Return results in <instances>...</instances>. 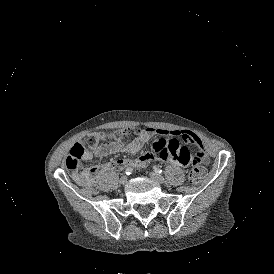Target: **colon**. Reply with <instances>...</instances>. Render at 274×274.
I'll return each mask as SVG.
<instances>
[{"mask_svg":"<svg viewBox=\"0 0 274 274\" xmlns=\"http://www.w3.org/2000/svg\"><path fill=\"white\" fill-rule=\"evenodd\" d=\"M138 135V129L135 127H128L121 130H115L110 133L109 137L117 138L123 142H131L136 139ZM107 135L103 132L96 133L86 137L82 142H77L73 145L69 155L65 158V167L72 172L79 171L82 175H91L96 169L82 167V156L85 151H89L97 142L104 141ZM188 180L191 184H198L203 174L199 166L189 167Z\"/></svg>","mask_w":274,"mask_h":274,"instance_id":"5ec220e1","label":"colon"}]
</instances>
